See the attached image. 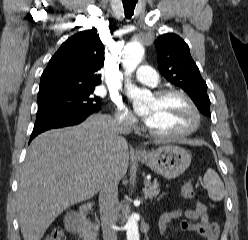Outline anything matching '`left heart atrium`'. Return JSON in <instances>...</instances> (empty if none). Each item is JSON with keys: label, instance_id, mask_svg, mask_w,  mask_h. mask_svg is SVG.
Instances as JSON below:
<instances>
[{"label": "left heart atrium", "instance_id": "39dd6f15", "mask_svg": "<svg viewBox=\"0 0 248 240\" xmlns=\"http://www.w3.org/2000/svg\"><path fill=\"white\" fill-rule=\"evenodd\" d=\"M143 119H144V121H145L146 123H148V122H149V120H150V118H149V116H148V115H145Z\"/></svg>", "mask_w": 248, "mask_h": 240}]
</instances>
